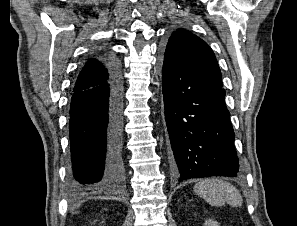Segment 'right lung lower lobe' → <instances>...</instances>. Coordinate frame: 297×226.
I'll list each match as a JSON object with an SVG mask.
<instances>
[{"mask_svg":"<svg viewBox=\"0 0 297 226\" xmlns=\"http://www.w3.org/2000/svg\"><path fill=\"white\" fill-rule=\"evenodd\" d=\"M101 85L74 91L69 114L70 179L75 194L120 184L123 180L122 82L114 59Z\"/></svg>","mask_w":297,"mask_h":226,"instance_id":"right-lung-lower-lobe-1","label":"right lung lower lobe"}]
</instances>
